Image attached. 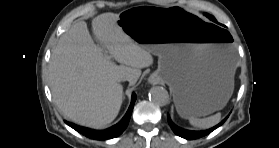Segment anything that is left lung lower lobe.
Here are the masks:
<instances>
[{"instance_id": "0a47b994", "label": "left lung lower lobe", "mask_w": 279, "mask_h": 148, "mask_svg": "<svg viewBox=\"0 0 279 148\" xmlns=\"http://www.w3.org/2000/svg\"><path fill=\"white\" fill-rule=\"evenodd\" d=\"M227 117L222 122H220L218 125H216L215 127L208 129V130H204V131H190V130H185V129L179 128L171 121L169 115H168V123L176 135H178L182 138L188 139V140H193V139L201 138V137L211 133L213 130H215L221 124H223L224 121L227 119Z\"/></svg>"}]
</instances>
